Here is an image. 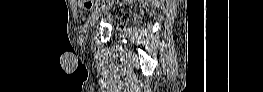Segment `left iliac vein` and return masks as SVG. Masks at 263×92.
Wrapping results in <instances>:
<instances>
[{"instance_id": "obj_1", "label": "left iliac vein", "mask_w": 263, "mask_h": 92, "mask_svg": "<svg viewBox=\"0 0 263 92\" xmlns=\"http://www.w3.org/2000/svg\"><path fill=\"white\" fill-rule=\"evenodd\" d=\"M96 11L93 16V23L97 22L99 18L102 17V13L104 12V5H103V0H96Z\"/></svg>"}]
</instances>
